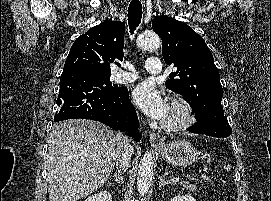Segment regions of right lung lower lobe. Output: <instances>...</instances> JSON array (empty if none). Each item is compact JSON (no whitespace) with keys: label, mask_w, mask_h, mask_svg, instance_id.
I'll return each mask as SVG.
<instances>
[{"label":"right lung lower lobe","mask_w":271,"mask_h":201,"mask_svg":"<svg viewBox=\"0 0 271 201\" xmlns=\"http://www.w3.org/2000/svg\"><path fill=\"white\" fill-rule=\"evenodd\" d=\"M56 104L60 109L54 116L55 121L91 119L114 130L130 132L135 140L140 138L137 114L125 87L114 93L99 90L81 91L65 87L59 91Z\"/></svg>","instance_id":"1"}]
</instances>
